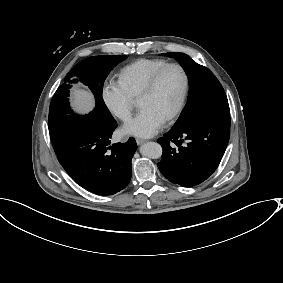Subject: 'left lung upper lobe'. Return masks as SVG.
Listing matches in <instances>:
<instances>
[{
	"instance_id": "5c2ea615",
	"label": "left lung upper lobe",
	"mask_w": 283,
	"mask_h": 283,
	"mask_svg": "<svg viewBox=\"0 0 283 283\" xmlns=\"http://www.w3.org/2000/svg\"><path fill=\"white\" fill-rule=\"evenodd\" d=\"M166 55L179 61L189 79L188 102L174 127H187L201 120L230 117L224 89L208 68L197 64L184 53Z\"/></svg>"
}]
</instances>
